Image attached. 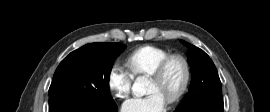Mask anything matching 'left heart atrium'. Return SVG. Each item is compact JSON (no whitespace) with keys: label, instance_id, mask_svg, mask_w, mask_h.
Listing matches in <instances>:
<instances>
[{"label":"left heart atrium","instance_id":"1","mask_svg":"<svg viewBox=\"0 0 270 112\" xmlns=\"http://www.w3.org/2000/svg\"><path fill=\"white\" fill-rule=\"evenodd\" d=\"M167 101L158 93L131 98L122 104V112H165Z\"/></svg>","mask_w":270,"mask_h":112}]
</instances>
